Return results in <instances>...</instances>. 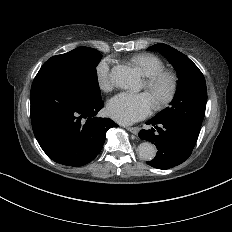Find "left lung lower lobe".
<instances>
[{"mask_svg": "<svg viewBox=\"0 0 232 232\" xmlns=\"http://www.w3.org/2000/svg\"><path fill=\"white\" fill-rule=\"evenodd\" d=\"M146 124H151L154 128L141 130L139 138L152 142L158 149L155 158L147 162L148 165L165 170L189 158L199 134L175 121L152 118Z\"/></svg>", "mask_w": 232, "mask_h": 232, "instance_id": "obj_1", "label": "left lung lower lobe"}]
</instances>
